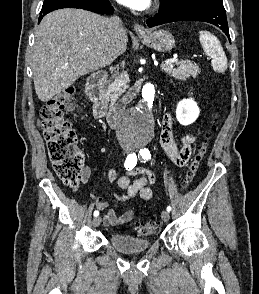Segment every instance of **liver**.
I'll use <instances>...</instances> for the list:
<instances>
[{
    "mask_svg": "<svg viewBox=\"0 0 259 294\" xmlns=\"http://www.w3.org/2000/svg\"><path fill=\"white\" fill-rule=\"evenodd\" d=\"M124 29L113 48L108 18L81 9L47 14L35 30L32 56L34 87L47 102L78 78L110 65L127 49Z\"/></svg>",
    "mask_w": 259,
    "mask_h": 294,
    "instance_id": "liver-1",
    "label": "liver"
}]
</instances>
